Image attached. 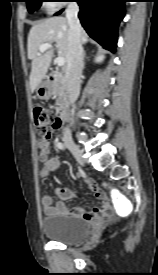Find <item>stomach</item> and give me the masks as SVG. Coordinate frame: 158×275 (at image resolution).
Here are the masks:
<instances>
[{"label":"stomach","instance_id":"obj_1","mask_svg":"<svg viewBox=\"0 0 158 275\" xmlns=\"http://www.w3.org/2000/svg\"><path fill=\"white\" fill-rule=\"evenodd\" d=\"M36 95L41 100H47L52 95L51 84L48 80L42 81L36 88Z\"/></svg>","mask_w":158,"mask_h":275}]
</instances>
